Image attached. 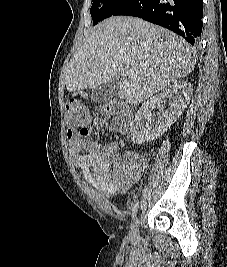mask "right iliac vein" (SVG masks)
<instances>
[{"label":"right iliac vein","mask_w":227,"mask_h":267,"mask_svg":"<svg viewBox=\"0 0 227 267\" xmlns=\"http://www.w3.org/2000/svg\"><path fill=\"white\" fill-rule=\"evenodd\" d=\"M139 235V220L138 218L136 217L134 219V222L131 226V229H130V232H129V236L131 239H135L137 238Z\"/></svg>","instance_id":"obj_1"}]
</instances>
